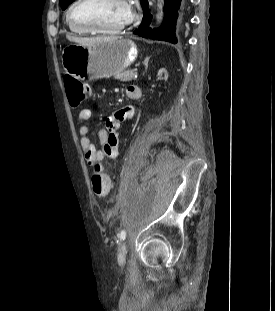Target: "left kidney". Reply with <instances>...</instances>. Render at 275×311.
Returning a JSON list of instances; mask_svg holds the SVG:
<instances>
[{
  "instance_id": "1",
  "label": "left kidney",
  "mask_w": 275,
  "mask_h": 311,
  "mask_svg": "<svg viewBox=\"0 0 275 311\" xmlns=\"http://www.w3.org/2000/svg\"><path fill=\"white\" fill-rule=\"evenodd\" d=\"M157 77H158V80H167L168 79L167 70L164 69V68L160 69L159 72H158V76ZM153 87L155 89H159L161 87V84L159 82H155L153 84Z\"/></svg>"
}]
</instances>
